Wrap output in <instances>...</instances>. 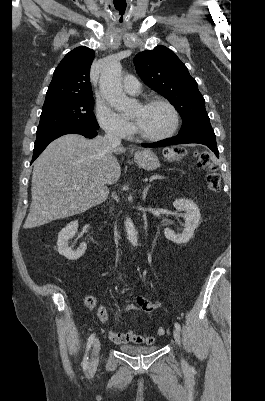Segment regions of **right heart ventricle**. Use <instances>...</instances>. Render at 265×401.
I'll list each match as a JSON object with an SVG mask.
<instances>
[{
    "label": "right heart ventricle",
    "instance_id": "obj_1",
    "mask_svg": "<svg viewBox=\"0 0 265 401\" xmlns=\"http://www.w3.org/2000/svg\"><path fill=\"white\" fill-rule=\"evenodd\" d=\"M117 140H120V139H122V138H116Z\"/></svg>",
    "mask_w": 265,
    "mask_h": 401
}]
</instances>
